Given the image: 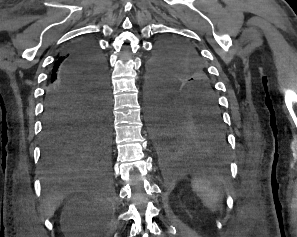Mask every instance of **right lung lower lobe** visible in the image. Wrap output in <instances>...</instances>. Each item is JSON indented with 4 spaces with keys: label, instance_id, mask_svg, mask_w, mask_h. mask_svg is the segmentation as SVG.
<instances>
[{
    "label": "right lung lower lobe",
    "instance_id": "98d812e1",
    "mask_svg": "<svg viewBox=\"0 0 297 237\" xmlns=\"http://www.w3.org/2000/svg\"><path fill=\"white\" fill-rule=\"evenodd\" d=\"M110 96L104 58L89 39L75 42L61 81L46 90L42 168L46 175L108 173Z\"/></svg>",
    "mask_w": 297,
    "mask_h": 237
}]
</instances>
